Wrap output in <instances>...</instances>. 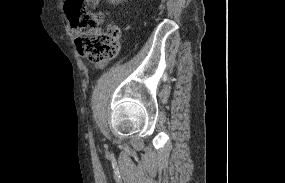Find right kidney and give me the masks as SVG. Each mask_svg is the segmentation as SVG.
<instances>
[{
  "label": "right kidney",
  "mask_w": 285,
  "mask_h": 183,
  "mask_svg": "<svg viewBox=\"0 0 285 183\" xmlns=\"http://www.w3.org/2000/svg\"><path fill=\"white\" fill-rule=\"evenodd\" d=\"M109 1L112 4H118V3H120L121 1H124V0H109Z\"/></svg>",
  "instance_id": "1"
}]
</instances>
